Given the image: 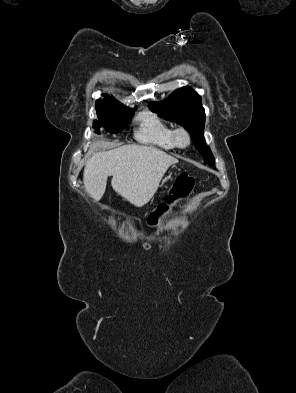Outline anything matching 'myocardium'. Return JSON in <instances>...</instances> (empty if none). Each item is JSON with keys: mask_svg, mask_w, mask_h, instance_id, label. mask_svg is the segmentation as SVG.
I'll return each instance as SVG.
<instances>
[{"mask_svg": "<svg viewBox=\"0 0 296 393\" xmlns=\"http://www.w3.org/2000/svg\"><path fill=\"white\" fill-rule=\"evenodd\" d=\"M173 140L177 147L186 148L191 144V134L185 127H178L173 131Z\"/></svg>", "mask_w": 296, "mask_h": 393, "instance_id": "1", "label": "myocardium"}]
</instances>
